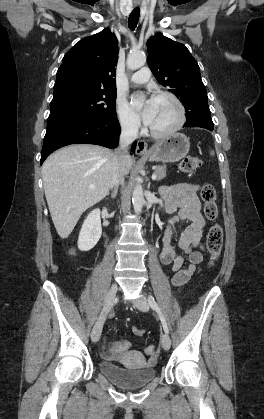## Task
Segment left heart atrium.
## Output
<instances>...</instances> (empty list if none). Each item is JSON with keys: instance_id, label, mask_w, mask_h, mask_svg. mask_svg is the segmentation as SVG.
Returning <instances> with one entry per match:
<instances>
[{"instance_id": "1", "label": "left heart atrium", "mask_w": 264, "mask_h": 419, "mask_svg": "<svg viewBox=\"0 0 264 419\" xmlns=\"http://www.w3.org/2000/svg\"><path fill=\"white\" fill-rule=\"evenodd\" d=\"M155 113V99L149 98L146 100L144 107L141 112V116L145 124L151 125L154 119Z\"/></svg>"}]
</instances>
